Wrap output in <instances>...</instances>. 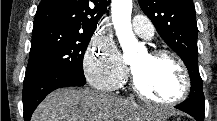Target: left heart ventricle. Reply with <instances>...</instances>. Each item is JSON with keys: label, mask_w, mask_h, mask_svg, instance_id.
<instances>
[{"label": "left heart ventricle", "mask_w": 217, "mask_h": 121, "mask_svg": "<svg viewBox=\"0 0 217 121\" xmlns=\"http://www.w3.org/2000/svg\"><path fill=\"white\" fill-rule=\"evenodd\" d=\"M130 67L142 89L156 99H172L181 90V73L170 58L142 54L130 62Z\"/></svg>", "instance_id": "1"}]
</instances>
